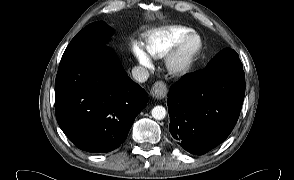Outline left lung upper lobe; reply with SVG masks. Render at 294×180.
<instances>
[{
	"label": "left lung upper lobe",
	"mask_w": 294,
	"mask_h": 180,
	"mask_svg": "<svg viewBox=\"0 0 294 180\" xmlns=\"http://www.w3.org/2000/svg\"><path fill=\"white\" fill-rule=\"evenodd\" d=\"M218 66H242V63L235 50L224 49L208 63L204 71Z\"/></svg>",
	"instance_id": "left-lung-upper-lobe-1"
}]
</instances>
